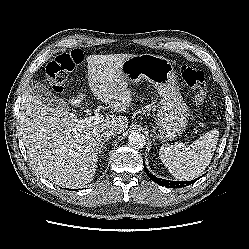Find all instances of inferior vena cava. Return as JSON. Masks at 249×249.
Masks as SVG:
<instances>
[{"mask_svg":"<svg viewBox=\"0 0 249 249\" xmlns=\"http://www.w3.org/2000/svg\"><path fill=\"white\" fill-rule=\"evenodd\" d=\"M118 133H119V130L115 127H108L102 131V135L106 139L111 138L112 136H115Z\"/></svg>","mask_w":249,"mask_h":249,"instance_id":"inferior-vena-cava-1","label":"inferior vena cava"}]
</instances>
